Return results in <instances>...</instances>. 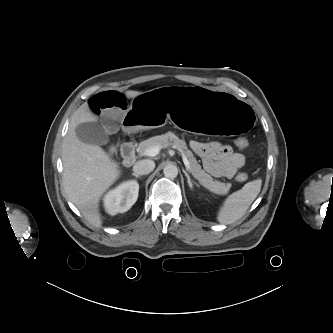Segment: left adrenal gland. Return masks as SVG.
I'll return each instance as SVG.
<instances>
[{
    "label": "left adrenal gland",
    "mask_w": 333,
    "mask_h": 333,
    "mask_svg": "<svg viewBox=\"0 0 333 333\" xmlns=\"http://www.w3.org/2000/svg\"><path fill=\"white\" fill-rule=\"evenodd\" d=\"M184 173H185V176L187 177V182H188V185L191 188V190L193 189V185H195L197 187L199 186L195 181H191L190 176L186 171H184Z\"/></svg>",
    "instance_id": "left-adrenal-gland-1"
}]
</instances>
